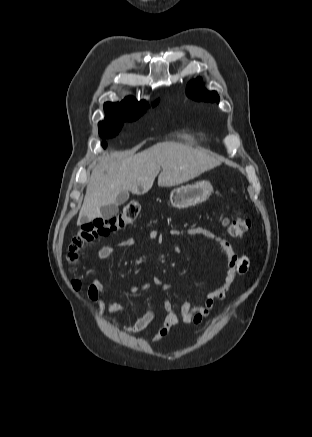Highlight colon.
<instances>
[{
  "instance_id": "colon-1",
  "label": "colon",
  "mask_w": 312,
  "mask_h": 437,
  "mask_svg": "<svg viewBox=\"0 0 312 437\" xmlns=\"http://www.w3.org/2000/svg\"><path fill=\"white\" fill-rule=\"evenodd\" d=\"M142 206L136 200L126 202L121 211L111 217L95 218L92 221L84 224L72 238L69 249L68 258L70 261H76L79 250L89 242H92L100 237L107 236L116 232L126 225L132 223L137 219L141 213ZM250 221L248 218L239 216L227 222V233L230 237H242L250 228ZM72 286L76 289L81 287L79 280H73Z\"/></svg>"
}]
</instances>
